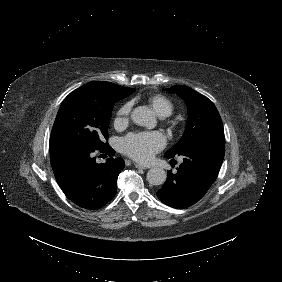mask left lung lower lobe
Wrapping results in <instances>:
<instances>
[{
  "instance_id": "left-lung-lower-lobe-1",
  "label": "left lung lower lobe",
  "mask_w": 282,
  "mask_h": 282,
  "mask_svg": "<svg viewBox=\"0 0 282 282\" xmlns=\"http://www.w3.org/2000/svg\"><path fill=\"white\" fill-rule=\"evenodd\" d=\"M224 153L225 140H206L185 149L179 154L184 157L183 163L177 173L168 171L167 181L157 192L158 198L177 209L195 204L216 180Z\"/></svg>"
}]
</instances>
